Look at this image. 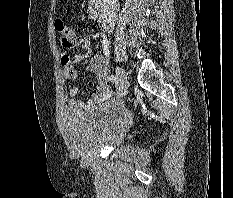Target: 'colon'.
Wrapping results in <instances>:
<instances>
[{
  "label": "colon",
  "instance_id": "obj_1",
  "mask_svg": "<svg viewBox=\"0 0 233 198\" xmlns=\"http://www.w3.org/2000/svg\"><path fill=\"white\" fill-rule=\"evenodd\" d=\"M56 30L60 34V40L64 47H72L75 42L74 32L67 27L62 20L57 19L55 23Z\"/></svg>",
  "mask_w": 233,
  "mask_h": 198
}]
</instances>
